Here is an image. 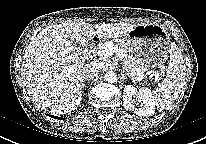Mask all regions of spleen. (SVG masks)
I'll return each mask as SVG.
<instances>
[{"label": "spleen", "instance_id": "3e777b00", "mask_svg": "<svg viewBox=\"0 0 206 144\" xmlns=\"http://www.w3.org/2000/svg\"><path fill=\"white\" fill-rule=\"evenodd\" d=\"M184 68L181 51L176 45H172L167 76L161 85L151 92L155 105L160 111L170 109L179 97L184 84Z\"/></svg>", "mask_w": 206, "mask_h": 144}]
</instances>
